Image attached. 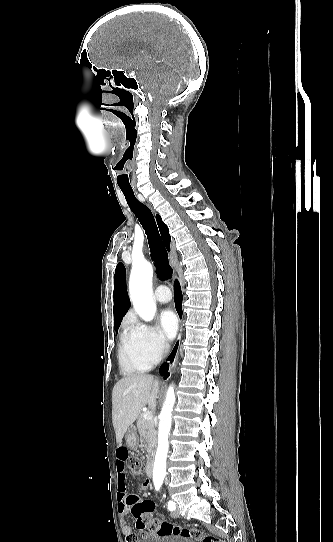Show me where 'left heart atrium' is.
Masks as SVG:
<instances>
[{
	"label": "left heart atrium",
	"instance_id": "left-heart-atrium-1",
	"mask_svg": "<svg viewBox=\"0 0 333 542\" xmlns=\"http://www.w3.org/2000/svg\"><path fill=\"white\" fill-rule=\"evenodd\" d=\"M160 325L164 335L168 339H173L178 329V320L172 310H165L160 316Z\"/></svg>",
	"mask_w": 333,
	"mask_h": 542
}]
</instances>
